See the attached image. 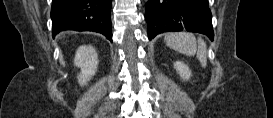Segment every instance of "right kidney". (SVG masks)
<instances>
[{"label":"right kidney","mask_w":273,"mask_h":118,"mask_svg":"<svg viewBox=\"0 0 273 118\" xmlns=\"http://www.w3.org/2000/svg\"><path fill=\"white\" fill-rule=\"evenodd\" d=\"M74 64L81 69L77 77L79 84L81 86L86 85L97 71L98 56L96 50L91 45L80 46L76 51Z\"/></svg>","instance_id":"obj_1"}]
</instances>
